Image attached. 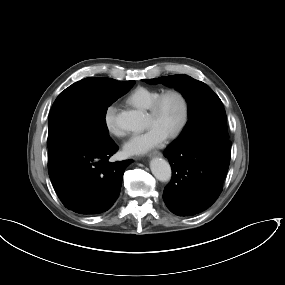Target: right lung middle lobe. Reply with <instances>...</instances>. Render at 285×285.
Listing matches in <instances>:
<instances>
[{
    "label": "right lung middle lobe",
    "instance_id": "right-lung-middle-lobe-1",
    "mask_svg": "<svg viewBox=\"0 0 285 285\" xmlns=\"http://www.w3.org/2000/svg\"><path fill=\"white\" fill-rule=\"evenodd\" d=\"M135 81L119 82L111 78L82 79L59 94L49 114V155L81 139H109L106 112Z\"/></svg>",
    "mask_w": 285,
    "mask_h": 285
}]
</instances>
